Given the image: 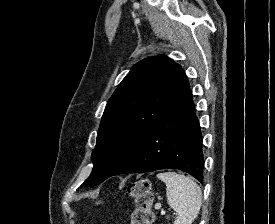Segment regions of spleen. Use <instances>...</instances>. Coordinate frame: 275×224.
<instances>
[{
	"instance_id": "obj_1",
	"label": "spleen",
	"mask_w": 275,
	"mask_h": 224,
	"mask_svg": "<svg viewBox=\"0 0 275 224\" xmlns=\"http://www.w3.org/2000/svg\"><path fill=\"white\" fill-rule=\"evenodd\" d=\"M157 178L166 184L169 206L176 212L174 224H192L202 203V193L191 178L175 172L159 173Z\"/></svg>"
}]
</instances>
